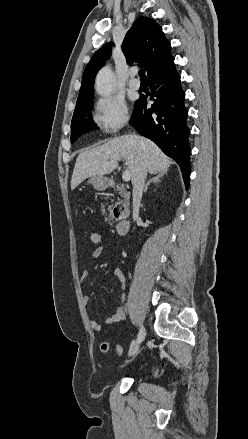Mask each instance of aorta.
Returning <instances> with one entry per match:
<instances>
[{
	"instance_id": "aorta-1",
	"label": "aorta",
	"mask_w": 248,
	"mask_h": 439,
	"mask_svg": "<svg viewBox=\"0 0 248 439\" xmlns=\"http://www.w3.org/2000/svg\"><path fill=\"white\" fill-rule=\"evenodd\" d=\"M115 86V74L109 67L102 68L96 77V91L102 97H109Z\"/></svg>"
}]
</instances>
